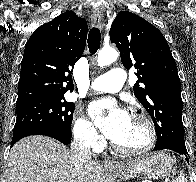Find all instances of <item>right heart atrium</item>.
Instances as JSON below:
<instances>
[{
    "label": "right heart atrium",
    "instance_id": "1",
    "mask_svg": "<svg viewBox=\"0 0 196 182\" xmlns=\"http://www.w3.org/2000/svg\"><path fill=\"white\" fill-rule=\"evenodd\" d=\"M73 135L75 140L85 148L98 149L102 145V138L94 124L82 115L73 125Z\"/></svg>",
    "mask_w": 196,
    "mask_h": 182
}]
</instances>
